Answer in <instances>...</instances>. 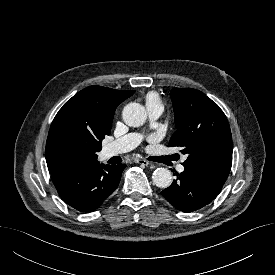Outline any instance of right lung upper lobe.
Masks as SVG:
<instances>
[{
  "label": "right lung upper lobe",
  "mask_w": 275,
  "mask_h": 275,
  "mask_svg": "<svg viewBox=\"0 0 275 275\" xmlns=\"http://www.w3.org/2000/svg\"><path fill=\"white\" fill-rule=\"evenodd\" d=\"M134 90H114L101 86H89L69 99L56 114L46 142V162L50 174L61 169L83 167L97 162L93 153L78 163L64 161L59 154L60 145L68 139L101 146L111 133L116 107Z\"/></svg>",
  "instance_id": "right-lung-upper-lobe-1"
}]
</instances>
